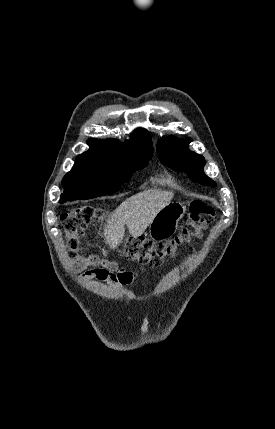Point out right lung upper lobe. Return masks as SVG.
Listing matches in <instances>:
<instances>
[{"label": "right lung upper lobe", "mask_w": 275, "mask_h": 429, "mask_svg": "<svg viewBox=\"0 0 275 429\" xmlns=\"http://www.w3.org/2000/svg\"><path fill=\"white\" fill-rule=\"evenodd\" d=\"M90 150L76 157V163L98 162L106 163L126 156H152L153 145L146 129H136L128 143L116 139H89ZM61 203V202H60Z\"/></svg>", "instance_id": "obj_1"}]
</instances>
